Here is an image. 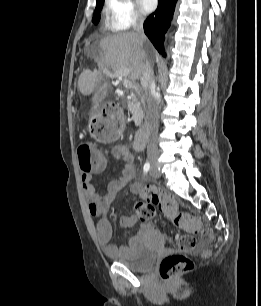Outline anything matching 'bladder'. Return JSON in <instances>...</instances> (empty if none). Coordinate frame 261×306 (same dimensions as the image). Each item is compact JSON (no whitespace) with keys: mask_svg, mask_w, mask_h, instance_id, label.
I'll list each match as a JSON object with an SVG mask.
<instances>
[{"mask_svg":"<svg viewBox=\"0 0 261 306\" xmlns=\"http://www.w3.org/2000/svg\"><path fill=\"white\" fill-rule=\"evenodd\" d=\"M150 232L146 237L140 236L136 239L127 256H114V261L132 271L148 270L162 250V235L157 231Z\"/></svg>","mask_w":261,"mask_h":306,"instance_id":"bladder-1","label":"bladder"}]
</instances>
